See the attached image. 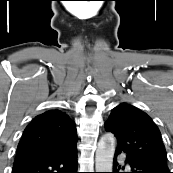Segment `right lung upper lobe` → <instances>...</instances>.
I'll return each mask as SVG.
<instances>
[{
  "label": "right lung upper lobe",
  "instance_id": "cb5924a9",
  "mask_svg": "<svg viewBox=\"0 0 173 173\" xmlns=\"http://www.w3.org/2000/svg\"><path fill=\"white\" fill-rule=\"evenodd\" d=\"M76 145L74 122L61 110H48L27 125L18 144L15 162L63 153Z\"/></svg>",
  "mask_w": 173,
  "mask_h": 173
}]
</instances>
